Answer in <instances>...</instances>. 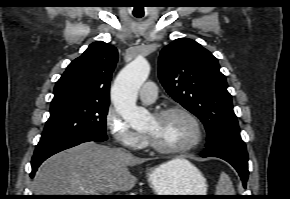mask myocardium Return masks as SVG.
Instances as JSON below:
<instances>
[{"instance_id": "f54148a6", "label": "myocardium", "mask_w": 290, "mask_h": 199, "mask_svg": "<svg viewBox=\"0 0 290 199\" xmlns=\"http://www.w3.org/2000/svg\"><path fill=\"white\" fill-rule=\"evenodd\" d=\"M172 114H181L193 124L195 128V132H196L195 139L193 140V142L181 148H166L159 145L149 134L145 133V137L148 142V145L152 150L160 154H164V155L177 156V155L188 154L192 152L193 150H195L196 148H198L200 144L203 142L204 140L203 126L201 122L199 121V119L192 112L179 106L168 107V108L158 110L154 113V117L158 119H162Z\"/></svg>"}]
</instances>
